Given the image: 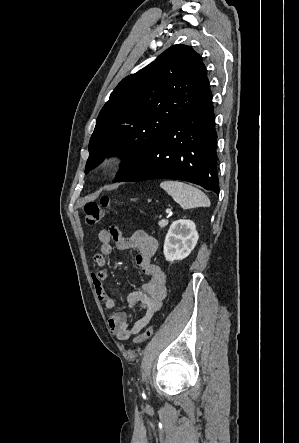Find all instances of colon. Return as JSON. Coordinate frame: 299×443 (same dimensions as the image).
Returning a JSON list of instances; mask_svg holds the SVG:
<instances>
[{"mask_svg": "<svg viewBox=\"0 0 299 443\" xmlns=\"http://www.w3.org/2000/svg\"><path fill=\"white\" fill-rule=\"evenodd\" d=\"M110 209V200L108 197H103L99 203L88 202L83 208L85 224L88 226H95L99 221L108 213ZM153 334V327H146L140 334L136 335L133 339L134 344H140L141 342L149 339Z\"/></svg>", "mask_w": 299, "mask_h": 443, "instance_id": "5ec220e1", "label": "colon"}]
</instances>
